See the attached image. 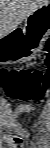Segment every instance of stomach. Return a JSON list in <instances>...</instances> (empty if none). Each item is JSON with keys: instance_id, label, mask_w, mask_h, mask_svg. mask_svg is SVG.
I'll return each mask as SVG.
<instances>
[{"instance_id": "1", "label": "stomach", "mask_w": 50, "mask_h": 148, "mask_svg": "<svg viewBox=\"0 0 50 148\" xmlns=\"http://www.w3.org/2000/svg\"><path fill=\"white\" fill-rule=\"evenodd\" d=\"M25 38L19 43H9L0 54L2 64L30 61L43 48L50 35V5L37 9L26 20Z\"/></svg>"}]
</instances>
